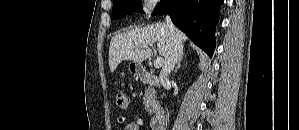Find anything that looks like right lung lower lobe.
<instances>
[{
    "mask_svg": "<svg viewBox=\"0 0 299 130\" xmlns=\"http://www.w3.org/2000/svg\"><path fill=\"white\" fill-rule=\"evenodd\" d=\"M222 3L223 0H161L153 15L169 14L174 25L212 57Z\"/></svg>",
    "mask_w": 299,
    "mask_h": 130,
    "instance_id": "1",
    "label": "right lung lower lobe"
}]
</instances>
